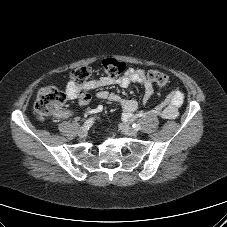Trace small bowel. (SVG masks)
<instances>
[{"label": "small bowel", "instance_id": "c3829d8e", "mask_svg": "<svg viewBox=\"0 0 227 227\" xmlns=\"http://www.w3.org/2000/svg\"><path fill=\"white\" fill-rule=\"evenodd\" d=\"M131 84H140L143 86V102L149 105L154 96L153 83L148 79L146 73L141 70L129 69L119 78H111L103 76L91 79L83 84H76L70 81L66 85V94L69 99L76 100L80 105H87L90 102L91 95L89 91H95L96 97L117 103L126 120H132L134 113L138 109V102L135 99H124L115 93H111L105 89L107 86L119 85L127 88ZM184 101V95L181 91L175 90L168 94L161 102L152 107V111L159 114L164 119H175L178 116V109ZM69 112H63L62 117H68Z\"/></svg>", "mask_w": 227, "mask_h": 227}]
</instances>
